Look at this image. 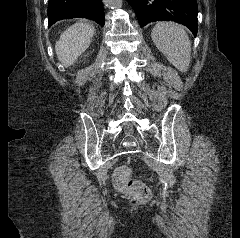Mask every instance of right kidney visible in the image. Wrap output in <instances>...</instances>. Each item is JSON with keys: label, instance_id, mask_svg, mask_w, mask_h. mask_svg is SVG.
Masks as SVG:
<instances>
[{"label": "right kidney", "instance_id": "1", "mask_svg": "<svg viewBox=\"0 0 240 238\" xmlns=\"http://www.w3.org/2000/svg\"><path fill=\"white\" fill-rule=\"evenodd\" d=\"M95 34V27L89 23L78 22L65 30L55 50L59 61L68 67L89 47Z\"/></svg>", "mask_w": 240, "mask_h": 238}]
</instances>
